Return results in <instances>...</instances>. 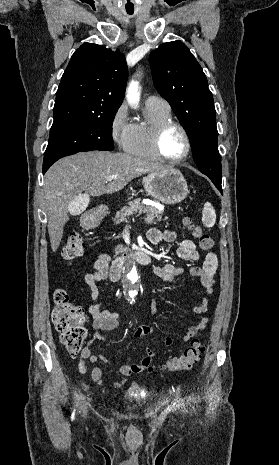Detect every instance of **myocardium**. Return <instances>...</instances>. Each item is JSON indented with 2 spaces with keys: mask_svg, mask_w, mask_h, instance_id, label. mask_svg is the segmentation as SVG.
Listing matches in <instances>:
<instances>
[{
  "mask_svg": "<svg viewBox=\"0 0 279 465\" xmlns=\"http://www.w3.org/2000/svg\"><path fill=\"white\" fill-rule=\"evenodd\" d=\"M171 127L178 128L181 131L184 137V140H185V151L180 157H177V158L167 157L163 153L162 148H161L162 137L164 133L166 132V130ZM152 148H153L155 155L158 157V159L164 162H167V163L177 164V163L185 161L189 157L191 153V149H192V144H191V139H190L188 131L181 123L174 121V120H167V121L160 123L155 128L153 137H152Z\"/></svg>",
  "mask_w": 279,
  "mask_h": 465,
  "instance_id": "obj_1",
  "label": "myocardium"
}]
</instances>
